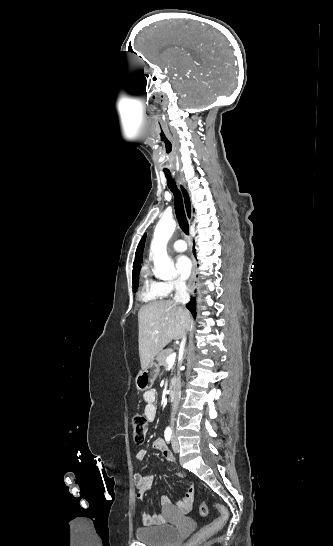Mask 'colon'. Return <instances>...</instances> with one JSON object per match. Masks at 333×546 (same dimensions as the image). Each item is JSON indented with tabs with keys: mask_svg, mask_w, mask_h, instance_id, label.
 Returning <instances> with one entry per match:
<instances>
[{
	"mask_svg": "<svg viewBox=\"0 0 333 546\" xmlns=\"http://www.w3.org/2000/svg\"><path fill=\"white\" fill-rule=\"evenodd\" d=\"M147 420L144 416L137 415L133 418L132 422V434L133 439L135 443L142 444L145 441L146 434H147ZM210 504L207 502H202L199 507V513L201 516H206L209 511ZM212 506L218 511L219 516L210 524L206 525L204 528H202L194 537L193 540H190L188 543L184 544L183 546H191L192 542L195 539H203L206 538L218 530H220L228 521L229 519V512L227 508L221 504L213 503Z\"/></svg>",
	"mask_w": 333,
	"mask_h": 546,
	"instance_id": "colon-1",
	"label": "colon"
}]
</instances>
